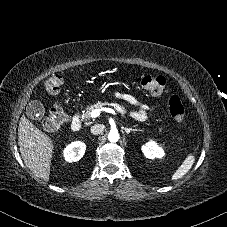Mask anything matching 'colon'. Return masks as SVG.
I'll return each mask as SVG.
<instances>
[{"mask_svg":"<svg viewBox=\"0 0 227 227\" xmlns=\"http://www.w3.org/2000/svg\"><path fill=\"white\" fill-rule=\"evenodd\" d=\"M64 84V77L60 73H55L45 80L44 86L51 94H57ZM135 84L152 95L160 96L168 94L166 89V79L163 76L141 74L135 78ZM169 112L174 122L182 123L185 119V107L176 95L169 99ZM68 116L61 104L55 103L49 114L42 121V129L47 132L60 130L67 122Z\"/></svg>","mask_w":227,"mask_h":227,"instance_id":"obj_1","label":"colon"}]
</instances>
